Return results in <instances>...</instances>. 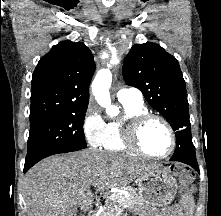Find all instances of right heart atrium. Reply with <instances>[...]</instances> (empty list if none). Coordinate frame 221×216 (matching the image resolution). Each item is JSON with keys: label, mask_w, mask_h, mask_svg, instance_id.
Wrapping results in <instances>:
<instances>
[{"label": "right heart atrium", "mask_w": 221, "mask_h": 216, "mask_svg": "<svg viewBox=\"0 0 221 216\" xmlns=\"http://www.w3.org/2000/svg\"><path fill=\"white\" fill-rule=\"evenodd\" d=\"M82 130L86 141L92 147L102 145L106 133V122L93 104L86 109L82 120Z\"/></svg>", "instance_id": "right-heart-atrium-1"}]
</instances>
